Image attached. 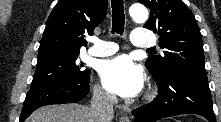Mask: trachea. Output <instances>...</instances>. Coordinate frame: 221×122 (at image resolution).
Wrapping results in <instances>:
<instances>
[{
    "instance_id": "3493384b",
    "label": "trachea",
    "mask_w": 221,
    "mask_h": 122,
    "mask_svg": "<svg viewBox=\"0 0 221 122\" xmlns=\"http://www.w3.org/2000/svg\"><path fill=\"white\" fill-rule=\"evenodd\" d=\"M112 7V33L123 34L125 24V14L123 0H111ZM152 51V49H148Z\"/></svg>"
}]
</instances>
